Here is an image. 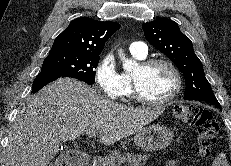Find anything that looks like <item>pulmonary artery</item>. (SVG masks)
Returning a JSON list of instances; mask_svg holds the SVG:
<instances>
[{
	"label": "pulmonary artery",
	"instance_id": "pulmonary-artery-1",
	"mask_svg": "<svg viewBox=\"0 0 231 166\" xmlns=\"http://www.w3.org/2000/svg\"><path fill=\"white\" fill-rule=\"evenodd\" d=\"M129 50L131 54H135L140 57H146L148 54V48L144 42H132L129 46Z\"/></svg>",
	"mask_w": 231,
	"mask_h": 166
}]
</instances>
